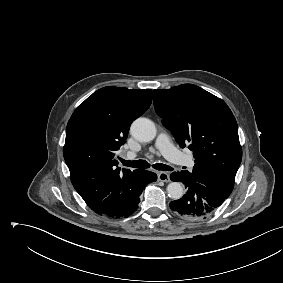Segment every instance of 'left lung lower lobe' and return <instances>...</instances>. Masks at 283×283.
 <instances>
[{
  "mask_svg": "<svg viewBox=\"0 0 283 283\" xmlns=\"http://www.w3.org/2000/svg\"><path fill=\"white\" fill-rule=\"evenodd\" d=\"M170 179L182 182L187 189L182 198L170 203L171 210L185 219L206 218L214 213L226 199L222 194L189 178L185 171L173 172Z\"/></svg>",
  "mask_w": 283,
  "mask_h": 283,
  "instance_id": "obj_1",
  "label": "left lung lower lobe"
}]
</instances>
